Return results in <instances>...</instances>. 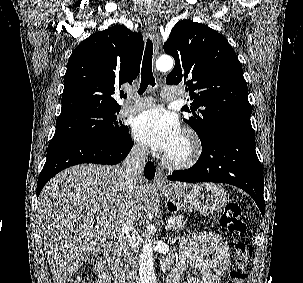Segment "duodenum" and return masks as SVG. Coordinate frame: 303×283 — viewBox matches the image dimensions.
Segmentation results:
<instances>
[{"mask_svg":"<svg viewBox=\"0 0 303 283\" xmlns=\"http://www.w3.org/2000/svg\"><path fill=\"white\" fill-rule=\"evenodd\" d=\"M99 265H101L103 267H106L108 265V266H111L114 268V271H115L114 283H126L125 274L119 264V253L116 249L107 250L104 255V259L99 261ZM160 268L163 272H169L170 259L165 258L161 262ZM171 272H170V274H171ZM170 274H169V276H170ZM168 283H175V281L173 279L169 278Z\"/></svg>","mask_w":303,"mask_h":283,"instance_id":"obj_1","label":"duodenum"}]
</instances>
